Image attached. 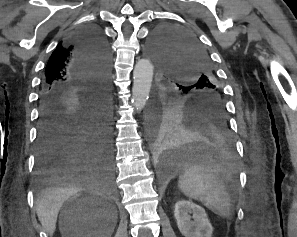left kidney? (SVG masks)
<instances>
[{"label": "left kidney", "mask_w": 297, "mask_h": 237, "mask_svg": "<svg viewBox=\"0 0 297 237\" xmlns=\"http://www.w3.org/2000/svg\"><path fill=\"white\" fill-rule=\"evenodd\" d=\"M174 217L183 236L212 237L213 227L201 206L191 201L180 200L175 204Z\"/></svg>", "instance_id": "obj_1"}]
</instances>
